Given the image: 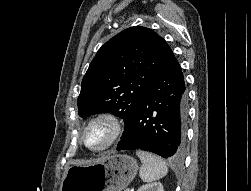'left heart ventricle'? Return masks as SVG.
I'll use <instances>...</instances> for the list:
<instances>
[{
    "instance_id": "obj_1",
    "label": "left heart ventricle",
    "mask_w": 251,
    "mask_h": 191,
    "mask_svg": "<svg viewBox=\"0 0 251 191\" xmlns=\"http://www.w3.org/2000/svg\"><path fill=\"white\" fill-rule=\"evenodd\" d=\"M111 129L107 122L98 120L90 124L82 134L83 145L92 151L102 150L109 142Z\"/></svg>"
}]
</instances>
